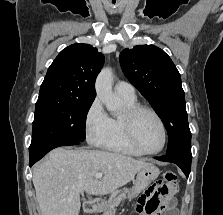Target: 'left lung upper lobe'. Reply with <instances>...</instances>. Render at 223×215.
Instances as JSON below:
<instances>
[{
    "instance_id": "1",
    "label": "left lung upper lobe",
    "mask_w": 223,
    "mask_h": 215,
    "mask_svg": "<svg viewBox=\"0 0 223 215\" xmlns=\"http://www.w3.org/2000/svg\"><path fill=\"white\" fill-rule=\"evenodd\" d=\"M121 68L149 101L168 133L166 154L191 157V132L180 74L170 57L154 45H137L120 54Z\"/></svg>"
}]
</instances>
